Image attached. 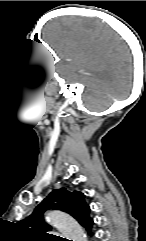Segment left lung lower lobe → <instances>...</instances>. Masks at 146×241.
<instances>
[{
    "instance_id": "0a47b994",
    "label": "left lung lower lobe",
    "mask_w": 146,
    "mask_h": 241,
    "mask_svg": "<svg viewBox=\"0 0 146 241\" xmlns=\"http://www.w3.org/2000/svg\"><path fill=\"white\" fill-rule=\"evenodd\" d=\"M92 225H93V221H92V220L89 221L88 223H86V224L84 225V227L86 228V230L88 231V233H89L90 235H92V233H91V231H90Z\"/></svg>"
}]
</instances>
